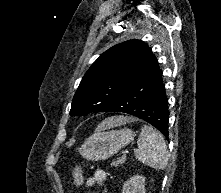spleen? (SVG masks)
Segmentation results:
<instances>
[{"label":"spleen","mask_w":221,"mask_h":193,"mask_svg":"<svg viewBox=\"0 0 221 193\" xmlns=\"http://www.w3.org/2000/svg\"><path fill=\"white\" fill-rule=\"evenodd\" d=\"M137 144L136 159L157 170L166 168L168 164V151L166 142L160 132L151 126H142Z\"/></svg>","instance_id":"3e777b00"}]
</instances>
